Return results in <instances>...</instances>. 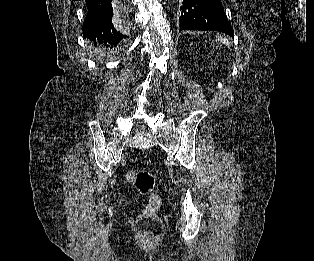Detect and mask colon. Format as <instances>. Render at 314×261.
I'll use <instances>...</instances> for the list:
<instances>
[{
	"instance_id": "1",
	"label": "colon",
	"mask_w": 314,
	"mask_h": 261,
	"mask_svg": "<svg viewBox=\"0 0 314 261\" xmlns=\"http://www.w3.org/2000/svg\"><path fill=\"white\" fill-rule=\"evenodd\" d=\"M126 179L136 187L140 194L148 197V204L136 221L138 233L149 238L159 237L164 231V225L156 214L161 201L153 192L154 176L146 170H131L127 173Z\"/></svg>"
}]
</instances>
